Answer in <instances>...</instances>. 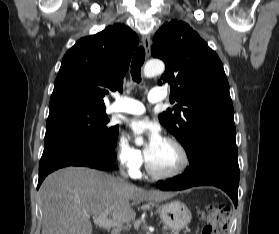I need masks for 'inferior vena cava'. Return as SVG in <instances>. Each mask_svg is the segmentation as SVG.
<instances>
[{
  "instance_id": "602c4592",
  "label": "inferior vena cava",
  "mask_w": 279,
  "mask_h": 234,
  "mask_svg": "<svg viewBox=\"0 0 279 234\" xmlns=\"http://www.w3.org/2000/svg\"><path fill=\"white\" fill-rule=\"evenodd\" d=\"M120 174L122 177L127 178V175L123 169H121Z\"/></svg>"
}]
</instances>
